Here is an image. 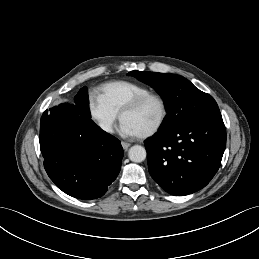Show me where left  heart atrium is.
<instances>
[{"instance_id":"1","label":"left heart atrium","mask_w":259,"mask_h":259,"mask_svg":"<svg viewBox=\"0 0 259 259\" xmlns=\"http://www.w3.org/2000/svg\"><path fill=\"white\" fill-rule=\"evenodd\" d=\"M119 132L124 137H136L139 136L137 129L127 121H123L120 124Z\"/></svg>"}]
</instances>
